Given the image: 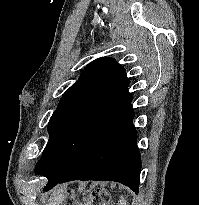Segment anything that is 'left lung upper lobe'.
<instances>
[{"instance_id": "1", "label": "left lung upper lobe", "mask_w": 199, "mask_h": 205, "mask_svg": "<svg viewBox=\"0 0 199 205\" xmlns=\"http://www.w3.org/2000/svg\"><path fill=\"white\" fill-rule=\"evenodd\" d=\"M125 69L110 57L89 63L62 95L48 123L49 140L35 174L50 181L61 177L99 123L128 95Z\"/></svg>"}]
</instances>
